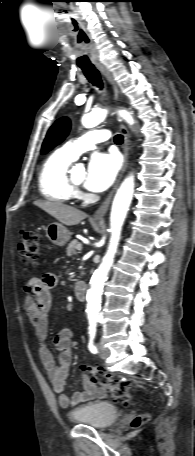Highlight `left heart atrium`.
I'll return each mask as SVG.
<instances>
[{
	"label": "left heart atrium",
	"instance_id": "39dd6f15",
	"mask_svg": "<svg viewBox=\"0 0 195 456\" xmlns=\"http://www.w3.org/2000/svg\"><path fill=\"white\" fill-rule=\"evenodd\" d=\"M119 169L120 160L115 154H95L89 161L84 185L94 192L104 191L114 182Z\"/></svg>",
	"mask_w": 195,
	"mask_h": 456
}]
</instances>
